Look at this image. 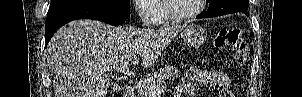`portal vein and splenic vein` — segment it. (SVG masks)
Segmentation results:
<instances>
[{"mask_svg": "<svg viewBox=\"0 0 302 97\" xmlns=\"http://www.w3.org/2000/svg\"><path fill=\"white\" fill-rule=\"evenodd\" d=\"M128 65H129V62L124 61V62L120 63L119 65L106 67V68H104V70L105 71L116 70V71H118V72H120V73H122L126 76L135 77L136 74L128 68ZM150 90H151L152 95L153 94H160L163 91V88L160 87V85L151 84L150 85Z\"/></svg>", "mask_w": 302, "mask_h": 97, "instance_id": "1", "label": "portal vein and splenic vein"}]
</instances>
